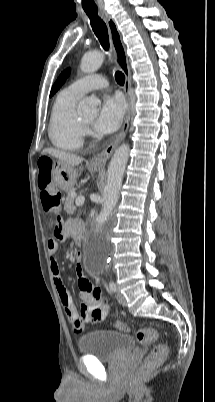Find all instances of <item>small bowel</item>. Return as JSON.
<instances>
[{"instance_id": "1", "label": "small bowel", "mask_w": 215, "mask_h": 402, "mask_svg": "<svg viewBox=\"0 0 215 402\" xmlns=\"http://www.w3.org/2000/svg\"><path fill=\"white\" fill-rule=\"evenodd\" d=\"M74 233V222H59L55 228V238L48 239L47 248L52 258L51 272L53 282L65 314L71 322L73 329L75 331H81L85 324L97 323L104 320L109 313V305L102 298L100 289L83 275L82 262L79 256L76 258V273L79 277L78 285L80 288V296L84 302L80 313L73 304V300L62 280L61 268L57 262L56 255L59 250V241L67 240L72 237Z\"/></svg>"}]
</instances>
